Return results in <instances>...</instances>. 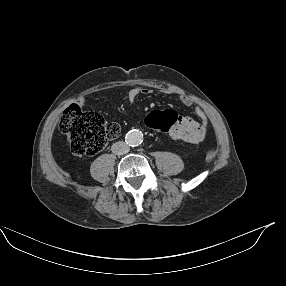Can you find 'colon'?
<instances>
[{"instance_id":"1","label":"colon","mask_w":286,"mask_h":286,"mask_svg":"<svg viewBox=\"0 0 286 286\" xmlns=\"http://www.w3.org/2000/svg\"><path fill=\"white\" fill-rule=\"evenodd\" d=\"M180 121L181 116L169 109L149 111L144 118L145 126L152 131H168ZM59 129L67 136L70 150L78 156L97 154L121 132L119 124L108 123L100 114L81 110L77 105H70L63 111Z\"/></svg>"}]
</instances>
